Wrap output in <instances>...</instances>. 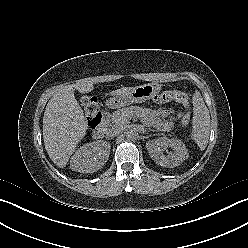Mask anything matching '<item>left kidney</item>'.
Returning <instances> with one entry per match:
<instances>
[{
  "mask_svg": "<svg viewBox=\"0 0 248 248\" xmlns=\"http://www.w3.org/2000/svg\"><path fill=\"white\" fill-rule=\"evenodd\" d=\"M146 147L150 157L156 162V164L162 167L173 168L179 166L188 158V150L184 143L179 139H168L166 137L152 139L146 143ZM163 147L173 148L174 153L165 157L161 152Z\"/></svg>",
  "mask_w": 248,
  "mask_h": 248,
  "instance_id": "1",
  "label": "left kidney"
}]
</instances>
